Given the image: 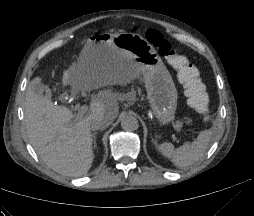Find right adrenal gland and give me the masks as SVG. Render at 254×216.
I'll return each instance as SVG.
<instances>
[{"label":"right adrenal gland","mask_w":254,"mask_h":216,"mask_svg":"<svg viewBox=\"0 0 254 216\" xmlns=\"http://www.w3.org/2000/svg\"><path fill=\"white\" fill-rule=\"evenodd\" d=\"M96 132L93 133V147L96 148L97 147V143H96Z\"/></svg>","instance_id":"right-adrenal-gland-1"}]
</instances>
